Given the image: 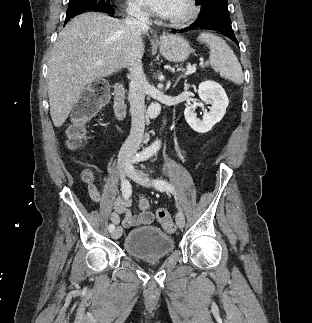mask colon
Listing matches in <instances>:
<instances>
[{"mask_svg":"<svg viewBox=\"0 0 312 323\" xmlns=\"http://www.w3.org/2000/svg\"><path fill=\"white\" fill-rule=\"evenodd\" d=\"M109 99V84L106 78H97L91 81L88 88L82 92L81 106L83 110L74 113V121L68 129V145L71 148L81 146L86 140L85 125L92 115L101 105L107 103ZM139 208L147 210L150 208L148 199L139 200ZM157 219L162 229L169 234L176 231V226L170 218L168 212L159 208Z\"/></svg>","mask_w":312,"mask_h":323,"instance_id":"1","label":"colon"}]
</instances>
